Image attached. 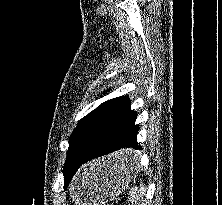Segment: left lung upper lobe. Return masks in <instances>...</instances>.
Instances as JSON below:
<instances>
[{"instance_id": "1", "label": "left lung upper lobe", "mask_w": 222, "mask_h": 205, "mask_svg": "<svg viewBox=\"0 0 222 205\" xmlns=\"http://www.w3.org/2000/svg\"><path fill=\"white\" fill-rule=\"evenodd\" d=\"M121 98L122 97H117L105 101L86 115L74 129L69 139V149L63 170L64 183L69 180L71 175L70 163L73 160L83 158L88 153L100 132L103 123Z\"/></svg>"}]
</instances>
